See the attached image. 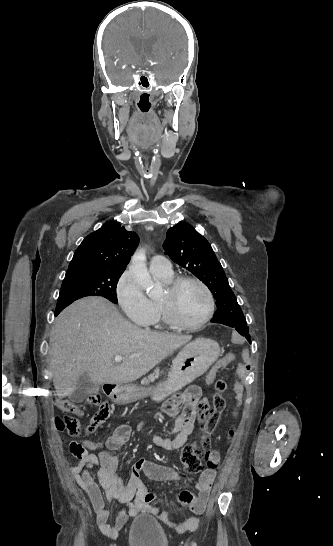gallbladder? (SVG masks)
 <instances>
[{"instance_id": "gallbladder-1", "label": "gallbladder", "mask_w": 333, "mask_h": 546, "mask_svg": "<svg viewBox=\"0 0 333 546\" xmlns=\"http://www.w3.org/2000/svg\"><path fill=\"white\" fill-rule=\"evenodd\" d=\"M99 391V386L94 384L87 373L82 374L77 383V392L74 397L77 401H82L89 394H95Z\"/></svg>"}]
</instances>
